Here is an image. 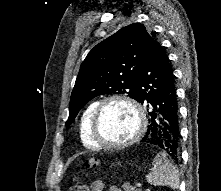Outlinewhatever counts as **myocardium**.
I'll use <instances>...</instances> for the list:
<instances>
[{"label": "myocardium", "instance_id": "myocardium-1", "mask_svg": "<svg viewBox=\"0 0 221 191\" xmlns=\"http://www.w3.org/2000/svg\"><path fill=\"white\" fill-rule=\"evenodd\" d=\"M115 101L123 102L129 105L134 110L137 117V128L135 133L128 140L120 143H111L104 140L100 130V120L104 108L106 107L107 104ZM145 127H146V118L141 105L136 100H134L129 96L122 94H115L104 98L96 106L91 120V136L95 141V143H97L100 147H106L111 149H122L136 143L144 133Z\"/></svg>", "mask_w": 221, "mask_h": 191}]
</instances>
